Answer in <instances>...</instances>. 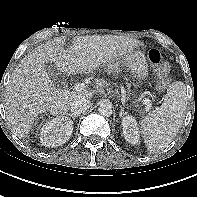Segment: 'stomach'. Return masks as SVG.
Listing matches in <instances>:
<instances>
[{
	"label": "stomach",
	"mask_w": 197,
	"mask_h": 197,
	"mask_svg": "<svg viewBox=\"0 0 197 197\" xmlns=\"http://www.w3.org/2000/svg\"><path fill=\"white\" fill-rule=\"evenodd\" d=\"M105 71L118 72L120 68L129 71L134 78L142 81L148 77V63L143 52L136 50L105 64Z\"/></svg>",
	"instance_id": "stomach-1"
}]
</instances>
